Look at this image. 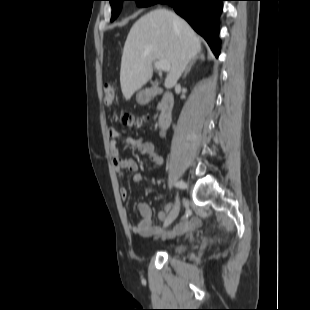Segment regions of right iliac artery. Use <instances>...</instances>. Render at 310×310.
Returning a JSON list of instances; mask_svg holds the SVG:
<instances>
[{
    "label": "right iliac artery",
    "instance_id": "obj_1",
    "mask_svg": "<svg viewBox=\"0 0 310 310\" xmlns=\"http://www.w3.org/2000/svg\"><path fill=\"white\" fill-rule=\"evenodd\" d=\"M176 186L179 187V188H181V189L187 188L186 183L183 182V181L177 182V183H176Z\"/></svg>",
    "mask_w": 310,
    "mask_h": 310
}]
</instances>
